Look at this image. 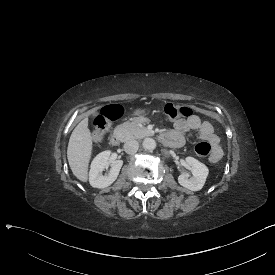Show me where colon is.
Segmentation results:
<instances>
[{
	"mask_svg": "<svg viewBox=\"0 0 275 275\" xmlns=\"http://www.w3.org/2000/svg\"><path fill=\"white\" fill-rule=\"evenodd\" d=\"M164 111L169 121H173L176 118L186 119L192 114V110L189 107L171 102L164 106ZM122 115L123 108L121 105L113 104L106 106L94 121L93 140L95 142L102 141L108 131L110 123L120 119ZM194 149L198 156L207 157L211 152V145L207 141H199Z\"/></svg>",
	"mask_w": 275,
	"mask_h": 275,
	"instance_id": "5ec220e1",
	"label": "colon"
}]
</instances>
